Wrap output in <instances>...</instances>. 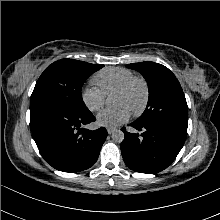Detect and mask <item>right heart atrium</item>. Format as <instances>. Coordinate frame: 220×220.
Masks as SVG:
<instances>
[{
  "label": "right heart atrium",
  "mask_w": 220,
  "mask_h": 220,
  "mask_svg": "<svg viewBox=\"0 0 220 220\" xmlns=\"http://www.w3.org/2000/svg\"><path fill=\"white\" fill-rule=\"evenodd\" d=\"M104 93L95 86H87L81 91V100L91 112L99 111L105 104Z\"/></svg>",
  "instance_id": "1"
}]
</instances>
